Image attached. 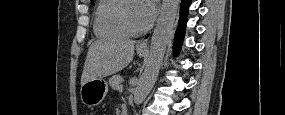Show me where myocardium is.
I'll return each instance as SVG.
<instances>
[{"label":"myocardium","instance_id":"obj_1","mask_svg":"<svg viewBox=\"0 0 285 115\" xmlns=\"http://www.w3.org/2000/svg\"><path fill=\"white\" fill-rule=\"evenodd\" d=\"M132 2H136L135 0H123L118 7L116 13V20L121 28L127 32L129 35H136L147 30V26L142 28H133L126 19L125 11L128 8L129 4Z\"/></svg>","mask_w":285,"mask_h":115}]
</instances>
